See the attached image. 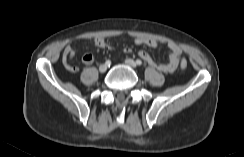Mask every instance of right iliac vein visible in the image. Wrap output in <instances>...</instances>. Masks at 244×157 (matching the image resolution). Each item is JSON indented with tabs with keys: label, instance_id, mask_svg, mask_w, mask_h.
I'll return each instance as SVG.
<instances>
[{
	"label": "right iliac vein",
	"instance_id": "63e3f726",
	"mask_svg": "<svg viewBox=\"0 0 244 157\" xmlns=\"http://www.w3.org/2000/svg\"><path fill=\"white\" fill-rule=\"evenodd\" d=\"M107 68H108L107 64H102V65L99 66V71L101 73H104V72H106Z\"/></svg>",
	"mask_w": 244,
	"mask_h": 157
}]
</instances>
